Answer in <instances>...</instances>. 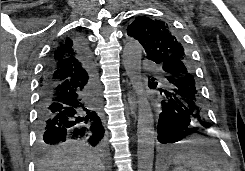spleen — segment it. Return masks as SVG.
<instances>
[{
  "instance_id": "3e777b00",
  "label": "spleen",
  "mask_w": 245,
  "mask_h": 171,
  "mask_svg": "<svg viewBox=\"0 0 245 171\" xmlns=\"http://www.w3.org/2000/svg\"><path fill=\"white\" fill-rule=\"evenodd\" d=\"M174 163L177 165L174 171H186L182 164L192 171H220L217 163L208 154L199 150H190L178 155Z\"/></svg>"
}]
</instances>
